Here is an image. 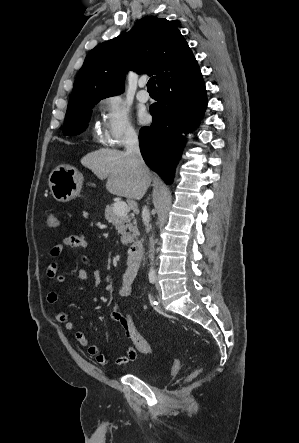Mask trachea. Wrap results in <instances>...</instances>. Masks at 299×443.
Here are the masks:
<instances>
[{
    "mask_svg": "<svg viewBox=\"0 0 299 443\" xmlns=\"http://www.w3.org/2000/svg\"><path fill=\"white\" fill-rule=\"evenodd\" d=\"M147 90L148 91H157L156 83H155V77H151L147 83Z\"/></svg>",
    "mask_w": 299,
    "mask_h": 443,
    "instance_id": "1",
    "label": "trachea"
}]
</instances>
